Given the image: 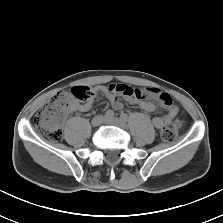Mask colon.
Segmentation results:
<instances>
[{"mask_svg":"<svg viewBox=\"0 0 223 223\" xmlns=\"http://www.w3.org/2000/svg\"><path fill=\"white\" fill-rule=\"evenodd\" d=\"M125 94L131 96L142 95L136 89H129ZM95 96V90L89 86H75L69 91H60L54 95L34 116L35 131L52 142L62 139V123L72 109L75 100L86 101ZM165 142L172 143L177 138V128L172 122H166L161 131Z\"/></svg>","mask_w":223,"mask_h":223,"instance_id":"obj_1","label":"colon"}]
</instances>
